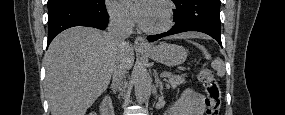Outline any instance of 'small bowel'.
Segmentation results:
<instances>
[{
    "instance_id": "small-bowel-1",
    "label": "small bowel",
    "mask_w": 285,
    "mask_h": 115,
    "mask_svg": "<svg viewBox=\"0 0 285 115\" xmlns=\"http://www.w3.org/2000/svg\"><path fill=\"white\" fill-rule=\"evenodd\" d=\"M204 97L192 89L185 90L182 95L174 100L167 112L168 115H203Z\"/></svg>"
}]
</instances>
